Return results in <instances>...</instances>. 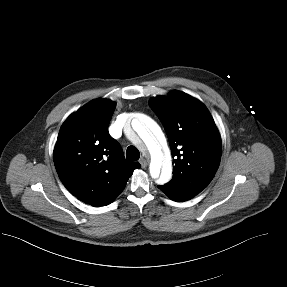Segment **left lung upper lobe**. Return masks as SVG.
I'll return each mask as SVG.
<instances>
[{"instance_id":"left-lung-upper-lobe-1","label":"left lung upper lobe","mask_w":287,"mask_h":287,"mask_svg":"<svg viewBox=\"0 0 287 287\" xmlns=\"http://www.w3.org/2000/svg\"><path fill=\"white\" fill-rule=\"evenodd\" d=\"M167 133L173 178L167 187L192 199L208 186L220 164L221 137L208 109L192 96L173 91L151 99Z\"/></svg>"}]
</instances>
